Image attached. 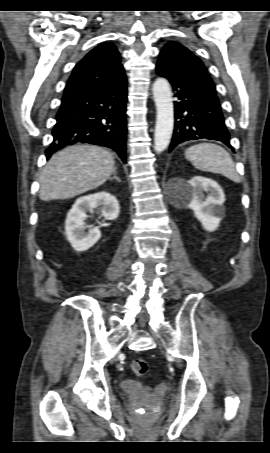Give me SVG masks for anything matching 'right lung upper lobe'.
<instances>
[{"instance_id":"obj_1","label":"right lung upper lobe","mask_w":270,"mask_h":453,"mask_svg":"<svg viewBox=\"0 0 270 453\" xmlns=\"http://www.w3.org/2000/svg\"><path fill=\"white\" fill-rule=\"evenodd\" d=\"M123 75L124 70L116 47L110 42H104L76 64L63 97L99 91Z\"/></svg>"}]
</instances>
